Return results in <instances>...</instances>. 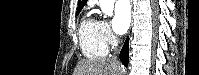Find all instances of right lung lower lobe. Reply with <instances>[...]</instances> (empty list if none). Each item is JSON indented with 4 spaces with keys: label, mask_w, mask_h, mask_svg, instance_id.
I'll list each match as a JSON object with an SVG mask.
<instances>
[{
    "label": "right lung lower lobe",
    "mask_w": 199,
    "mask_h": 75,
    "mask_svg": "<svg viewBox=\"0 0 199 75\" xmlns=\"http://www.w3.org/2000/svg\"><path fill=\"white\" fill-rule=\"evenodd\" d=\"M129 37H127L122 50L120 52V60L121 62L127 67L128 66V60H129Z\"/></svg>",
    "instance_id": "right-lung-lower-lobe-1"
}]
</instances>
